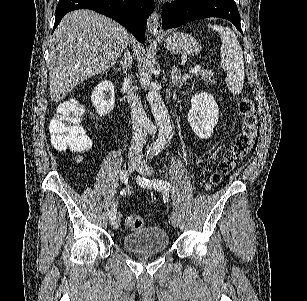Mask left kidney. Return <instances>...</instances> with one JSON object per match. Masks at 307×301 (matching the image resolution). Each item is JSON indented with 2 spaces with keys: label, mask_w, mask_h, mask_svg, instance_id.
<instances>
[{
  "label": "left kidney",
  "mask_w": 307,
  "mask_h": 301,
  "mask_svg": "<svg viewBox=\"0 0 307 301\" xmlns=\"http://www.w3.org/2000/svg\"><path fill=\"white\" fill-rule=\"evenodd\" d=\"M188 122L197 136L210 138L219 118V106L210 92H196L191 98Z\"/></svg>",
  "instance_id": "obj_1"
}]
</instances>
